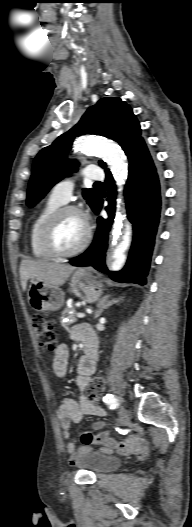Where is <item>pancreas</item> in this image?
<instances>
[{
	"instance_id": "pancreas-1",
	"label": "pancreas",
	"mask_w": 192,
	"mask_h": 527,
	"mask_svg": "<svg viewBox=\"0 0 192 527\" xmlns=\"http://www.w3.org/2000/svg\"><path fill=\"white\" fill-rule=\"evenodd\" d=\"M75 312L74 308H65L61 313V324L63 326H68L77 321V318L73 314ZM64 319H67V322H64Z\"/></svg>"
}]
</instances>
